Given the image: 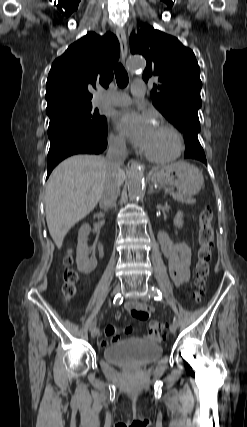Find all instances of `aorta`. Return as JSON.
<instances>
[{
	"label": "aorta",
	"instance_id": "aorta-1",
	"mask_svg": "<svg viewBox=\"0 0 247 427\" xmlns=\"http://www.w3.org/2000/svg\"><path fill=\"white\" fill-rule=\"evenodd\" d=\"M145 65L146 61L140 56H133L127 61V66L131 73L143 69ZM144 186L143 167L140 164H136L131 168L128 176V194L133 202L144 196Z\"/></svg>",
	"mask_w": 247,
	"mask_h": 427
}]
</instances>
